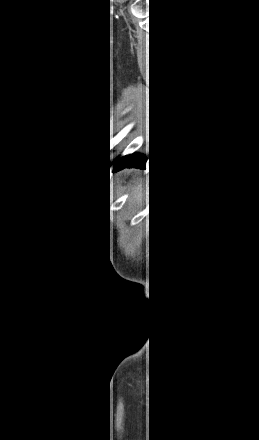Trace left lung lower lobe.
Here are the masks:
<instances>
[{
  "mask_svg": "<svg viewBox=\"0 0 259 440\" xmlns=\"http://www.w3.org/2000/svg\"><path fill=\"white\" fill-rule=\"evenodd\" d=\"M144 161H145V159L143 156L135 154V153L133 155L126 156L121 160V162L124 164L134 163L135 165H133V166H136V167H142L144 165ZM137 164H140V165H137Z\"/></svg>",
  "mask_w": 259,
  "mask_h": 440,
  "instance_id": "1",
  "label": "left lung lower lobe"
}]
</instances>
